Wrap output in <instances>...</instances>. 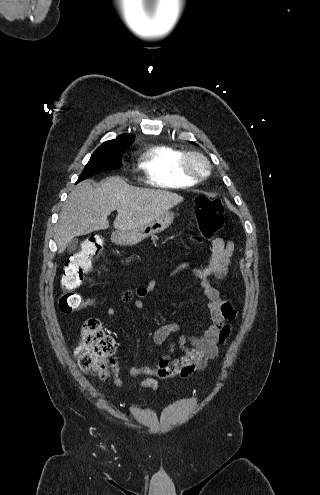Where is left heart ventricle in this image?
Listing matches in <instances>:
<instances>
[{"instance_id":"1","label":"left heart ventricle","mask_w":320,"mask_h":495,"mask_svg":"<svg viewBox=\"0 0 320 495\" xmlns=\"http://www.w3.org/2000/svg\"><path fill=\"white\" fill-rule=\"evenodd\" d=\"M195 167H196L198 170H202V169H203L202 164H201V163H199V162H196Z\"/></svg>"}]
</instances>
